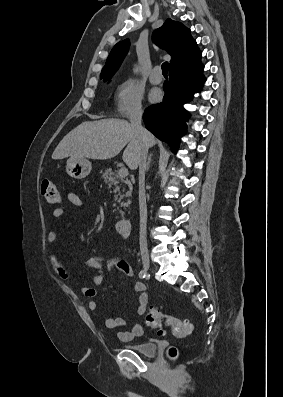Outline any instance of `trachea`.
<instances>
[{
  "mask_svg": "<svg viewBox=\"0 0 283 397\" xmlns=\"http://www.w3.org/2000/svg\"><path fill=\"white\" fill-rule=\"evenodd\" d=\"M168 67H169L168 62H164V63L161 65V69H162V74H163V75H167V74H168Z\"/></svg>",
  "mask_w": 283,
  "mask_h": 397,
  "instance_id": "1",
  "label": "trachea"
}]
</instances>
